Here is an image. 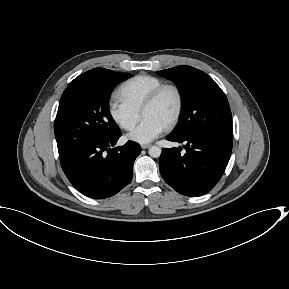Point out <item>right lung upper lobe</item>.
Instances as JSON below:
<instances>
[{
    "mask_svg": "<svg viewBox=\"0 0 289 289\" xmlns=\"http://www.w3.org/2000/svg\"><path fill=\"white\" fill-rule=\"evenodd\" d=\"M113 71L104 69V68H94L90 71H87L78 77H76L72 82H81V81H99L103 78L111 75Z\"/></svg>",
    "mask_w": 289,
    "mask_h": 289,
    "instance_id": "obj_1",
    "label": "right lung upper lobe"
}]
</instances>
